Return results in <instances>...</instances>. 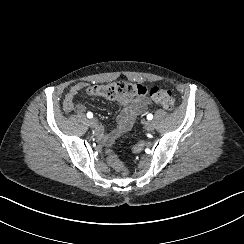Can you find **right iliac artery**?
<instances>
[{
  "instance_id": "right-iliac-artery-1",
  "label": "right iliac artery",
  "mask_w": 244,
  "mask_h": 244,
  "mask_svg": "<svg viewBox=\"0 0 244 244\" xmlns=\"http://www.w3.org/2000/svg\"><path fill=\"white\" fill-rule=\"evenodd\" d=\"M87 117H88V118H92V117H93V114H92L91 112H88V113H87Z\"/></svg>"
}]
</instances>
